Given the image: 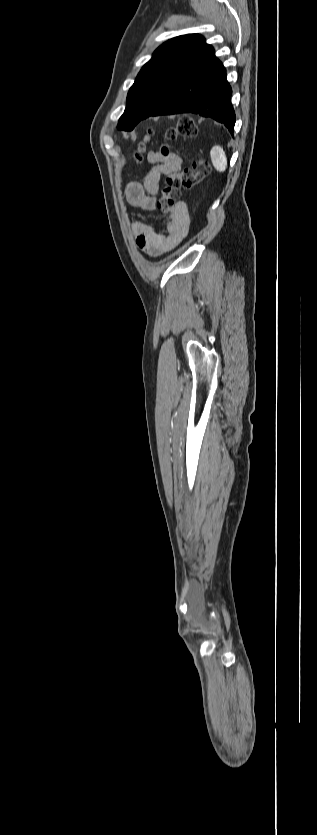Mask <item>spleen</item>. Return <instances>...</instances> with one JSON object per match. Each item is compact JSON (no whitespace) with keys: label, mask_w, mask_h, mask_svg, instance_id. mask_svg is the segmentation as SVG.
Here are the masks:
<instances>
[{"label":"spleen","mask_w":317,"mask_h":835,"mask_svg":"<svg viewBox=\"0 0 317 835\" xmlns=\"http://www.w3.org/2000/svg\"><path fill=\"white\" fill-rule=\"evenodd\" d=\"M210 157L214 168L218 172H224L227 168V157L221 146L215 145L210 151Z\"/></svg>","instance_id":"1"}]
</instances>
